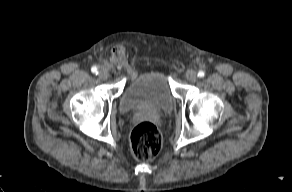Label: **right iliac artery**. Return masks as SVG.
I'll return each instance as SVG.
<instances>
[{"label": "right iliac artery", "instance_id": "1", "mask_svg": "<svg viewBox=\"0 0 292 192\" xmlns=\"http://www.w3.org/2000/svg\"><path fill=\"white\" fill-rule=\"evenodd\" d=\"M91 71H92L93 73H95V74L98 73V69H97L96 66H93V67L91 68Z\"/></svg>", "mask_w": 292, "mask_h": 192}]
</instances>
